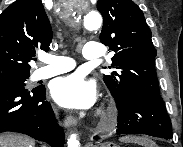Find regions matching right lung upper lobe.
<instances>
[{"instance_id":"cb5924a9","label":"right lung upper lobe","mask_w":183,"mask_h":147,"mask_svg":"<svg viewBox=\"0 0 183 147\" xmlns=\"http://www.w3.org/2000/svg\"><path fill=\"white\" fill-rule=\"evenodd\" d=\"M52 29L41 0H16L0 15V81L30 75L35 50H49Z\"/></svg>"}]
</instances>
